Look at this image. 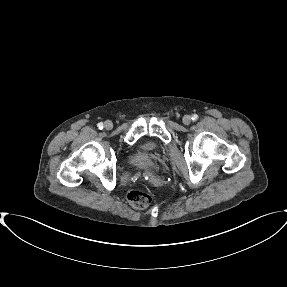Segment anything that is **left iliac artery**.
<instances>
[{"label":"left iliac artery","mask_w":287,"mask_h":287,"mask_svg":"<svg viewBox=\"0 0 287 287\" xmlns=\"http://www.w3.org/2000/svg\"><path fill=\"white\" fill-rule=\"evenodd\" d=\"M197 119H198V115H197V114H193V115H192V120H193V121H196Z\"/></svg>","instance_id":"obj_1"}]
</instances>
